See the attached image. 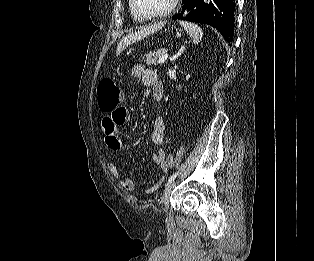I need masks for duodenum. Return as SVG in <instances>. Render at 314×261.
<instances>
[{
    "instance_id": "obj_1",
    "label": "duodenum",
    "mask_w": 314,
    "mask_h": 261,
    "mask_svg": "<svg viewBox=\"0 0 314 261\" xmlns=\"http://www.w3.org/2000/svg\"><path fill=\"white\" fill-rule=\"evenodd\" d=\"M162 97H163V94H162V93H159V94L157 95V98H158V99H162Z\"/></svg>"
}]
</instances>
